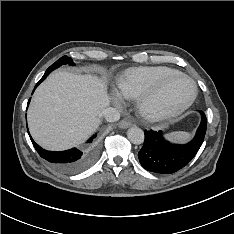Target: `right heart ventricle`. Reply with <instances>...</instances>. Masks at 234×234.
I'll return each instance as SVG.
<instances>
[{"mask_svg":"<svg viewBox=\"0 0 234 234\" xmlns=\"http://www.w3.org/2000/svg\"><path fill=\"white\" fill-rule=\"evenodd\" d=\"M176 72L179 71L165 66L130 68L118 81L119 94L126 99H137L163 78Z\"/></svg>","mask_w":234,"mask_h":234,"instance_id":"obj_1","label":"right heart ventricle"}]
</instances>
